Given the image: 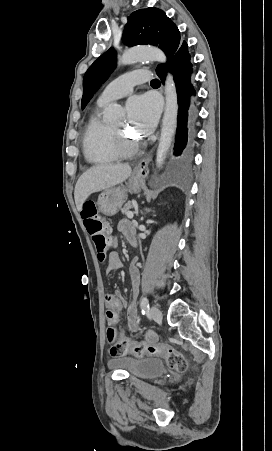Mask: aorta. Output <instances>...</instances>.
Wrapping results in <instances>:
<instances>
[{"label":"aorta","mask_w":272,"mask_h":451,"mask_svg":"<svg viewBox=\"0 0 272 451\" xmlns=\"http://www.w3.org/2000/svg\"><path fill=\"white\" fill-rule=\"evenodd\" d=\"M145 62V60H152V62H161L165 64L167 58L162 50L157 48H146V46H140V48H131V50H125L122 56L118 58L119 66H128V64H136V62ZM165 110L162 120V128L160 134V140L156 154V164L161 166L163 164L169 148L172 144L173 136L176 130L177 116H178V98L176 92L175 82L172 74H167L165 82ZM122 110L118 104H111L110 114H105V122L114 124L117 120H122Z\"/></svg>","instance_id":"762f6f07"}]
</instances>
